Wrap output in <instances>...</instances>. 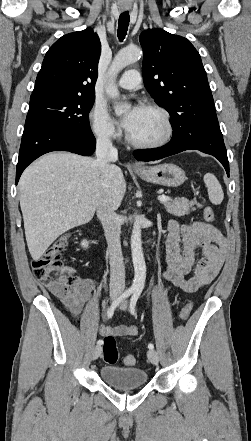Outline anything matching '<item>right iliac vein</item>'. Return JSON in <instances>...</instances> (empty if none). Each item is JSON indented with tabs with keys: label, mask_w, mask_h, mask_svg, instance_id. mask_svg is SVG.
<instances>
[{
	"label": "right iliac vein",
	"mask_w": 251,
	"mask_h": 441,
	"mask_svg": "<svg viewBox=\"0 0 251 441\" xmlns=\"http://www.w3.org/2000/svg\"><path fill=\"white\" fill-rule=\"evenodd\" d=\"M117 297H118V294H117V293H113V294L111 295V299H112L113 301H115V300L117 299ZM101 352H102V347H101V345H97V346L94 348V350H93L92 359H93V360H96V359L101 355Z\"/></svg>",
	"instance_id": "63e3f726"
}]
</instances>
